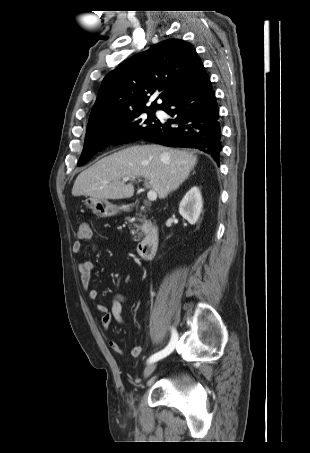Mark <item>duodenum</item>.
Wrapping results in <instances>:
<instances>
[{"instance_id":"obj_1","label":"duodenum","mask_w":310,"mask_h":453,"mask_svg":"<svg viewBox=\"0 0 310 453\" xmlns=\"http://www.w3.org/2000/svg\"><path fill=\"white\" fill-rule=\"evenodd\" d=\"M147 209L148 208L146 205L140 207V211L142 212H146ZM158 243H159V229L157 228V226L151 225L149 226L143 239L139 242L137 246V252L140 258H142L143 260L151 259L157 251Z\"/></svg>"}]
</instances>
